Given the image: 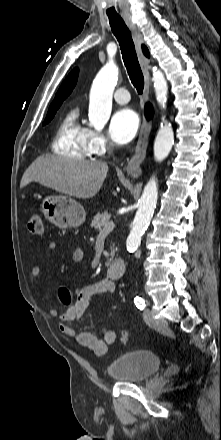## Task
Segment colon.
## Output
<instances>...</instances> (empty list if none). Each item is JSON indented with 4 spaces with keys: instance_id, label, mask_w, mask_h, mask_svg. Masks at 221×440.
<instances>
[{
    "instance_id": "1",
    "label": "colon",
    "mask_w": 221,
    "mask_h": 440,
    "mask_svg": "<svg viewBox=\"0 0 221 440\" xmlns=\"http://www.w3.org/2000/svg\"><path fill=\"white\" fill-rule=\"evenodd\" d=\"M28 229L30 233L33 235H36L38 237H44L45 236V228L43 224L42 216L38 213H34L31 215L29 221H28ZM58 294L62 301L65 303L66 306H73L75 303V300L73 297H70L69 290L62 286L58 290ZM67 313L70 311L68 308L65 310ZM116 330H120L118 332V337L122 340V342L125 344L128 342L129 332L128 330H121V325H116Z\"/></svg>"
}]
</instances>
